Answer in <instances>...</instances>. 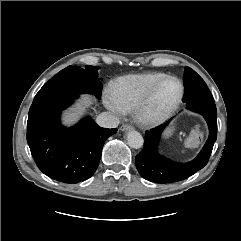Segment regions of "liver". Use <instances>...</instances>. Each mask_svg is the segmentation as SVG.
<instances>
[{
    "instance_id": "1",
    "label": "liver",
    "mask_w": 241,
    "mask_h": 241,
    "mask_svg": "<svg viewBox=\"0 0 241 241\" xmlns=\"http://www.w3.org/2000/svg\"><path fill=\"white\" fill-rule=\"evenodd\" d=\"M92 98L89 96H83V99L81 101V103L78 105V107L69 112L66 116H65V121L66 123H71L76 121L86 110V108L88 107V104L91 103Z\"/></svg>"
}]
</instances>
